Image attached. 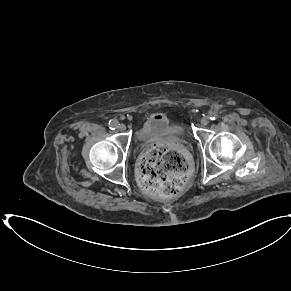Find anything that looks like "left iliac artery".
Here are the masks:
<instances>
[{
    "label": "left iliac artery",
    "instance_id": "1",
    "mask_svg": "<svg viewBox=\"0 0 291 291\" xmlns=\"http://www.w3.org/2000/svg\"><path fill=\"white\" fill-rule=\"evenodd\" d=\"M218 117V112H212L210 115H209V119L210 120H216Z\"/></svg>",
    "mask_w": 291,
    "mask_h": 291
}]
</instances>
